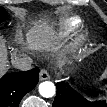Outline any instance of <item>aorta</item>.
Returning a JSON list of instances; mask_svg holds the SVG:
<instances>
[{
  "label": "aorta",
  "instance_id": "762f6f07",
  "mask_svg": "<svg viewBox=\"0 0 107 107\" xmlns=\"http://www.w3.org/2000/svg\"><path fill=\"white\" fill-rule=\"evenodd\" d=\"M39 93L45 98L53 97L56 93V87L51 81H44L39 85Z\"/></svg>",
  "mask_w": 107,
  "mask_h": 107
}]
</instances>
